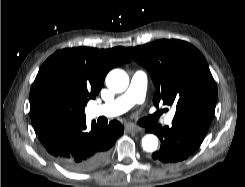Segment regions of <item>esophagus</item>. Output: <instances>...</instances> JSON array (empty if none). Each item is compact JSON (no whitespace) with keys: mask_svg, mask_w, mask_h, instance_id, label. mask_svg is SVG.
<instances>
[{"mask_svg":"<svg viewBox=\"0 0 245 187\" xmlns=\"http://www.w3.org/2000/svg\"><path fill=\"white\" fill-rule=\"evenodd\" d=\"M125 129H126V131H128V132H135V133L140 132V131L143 130L142 128H140V127H138V126H136V125H133V124H127V125L125 126Z\"/></svg>","mask_w":245,"mask_h":187,"instance_id":"esophagus-1","label":"esophagus"}]
</instances>
